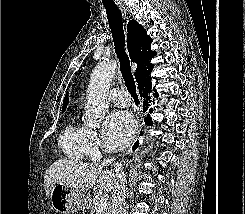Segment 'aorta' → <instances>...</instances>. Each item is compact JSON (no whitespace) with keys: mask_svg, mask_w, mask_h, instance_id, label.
I'll list each match as a JSON object with an SVG mask.
<instances>
[{"mask_svg":"<svg viewBox=\"0 0 245 214\" xmlns=\"http://www.w3.org/2000/svg\"><path fill=\"white\" fill-rule=\"evenodd\" d=\"M116 61L98 63L91 74L88 85V102L83 115V122L91 128H97L109 107L108 92L116 71Z\"/></svg>","mask_w":245,"mask_h":214,"instance_id":"aorta-1","label":"aorta"}]
</instances>
